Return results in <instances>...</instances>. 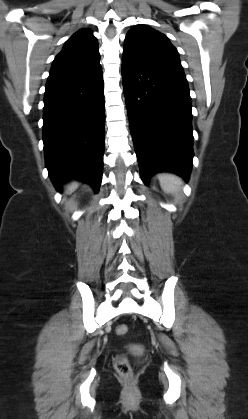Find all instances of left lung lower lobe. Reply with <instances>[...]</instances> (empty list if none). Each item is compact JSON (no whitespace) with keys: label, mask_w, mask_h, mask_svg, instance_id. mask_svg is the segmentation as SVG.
Masks as SVG:
<instances>
[{"label":"left lung lower lobe","mask_w":248,"mask_h":419,"mask_svg":"<svg viewBox=\"0 0 248 419\" xmlns=\"http://www.w3.org/2000/svg\"><path fill=\"white\" fill-rule=\"evenodd\" d=\"M122 81L143 182L156 172L188 179L192 166L191 98L185 75L123 54Z\"/></svg>","instance_id":"obj_1"}]
</instances>
